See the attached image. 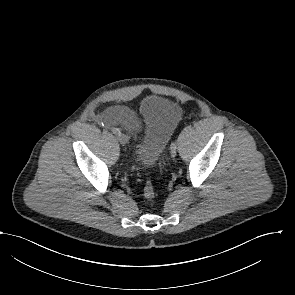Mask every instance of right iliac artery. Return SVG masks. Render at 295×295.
Returning a JSON list of instances; mask_svg holds the SVG:
<instances>
[{
  "instance_id": "82829eb1",
  "label": "right iliac artery",
  "mask_w": 295,
  "mask_h": 295,
  "mask_svg": "<svg viewBox=\"0 0 295 295\" xmlns=\"http://www.w3.org/2000/svg\"><path fill=\"white\" fill-rule=\"evenodd\" d=\"M113 133L116 134V135H119L121 132L118 128H114L113 130Z\"/></svg>"
}]
</instances>
